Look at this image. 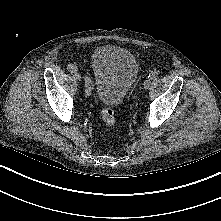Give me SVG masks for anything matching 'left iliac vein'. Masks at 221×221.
<instances>
[{
	"label": "left iliac vein",
	"mask_w": 221,
	"mask_h": 221,
	"mask_svg": "<svg viewBox=\"0 0 221 221\" xmlns=\"http://www.w3.org/2000/svg\"><path fill=\"white\" fill-rule=\"evenodd\" d=\"M150 84H151V80L150 79H146L144 81V88L145 89H148L150 87Z\"/></svg>",
	"instance_id": "4c4485c4"
}]
</instances>
